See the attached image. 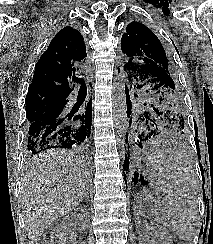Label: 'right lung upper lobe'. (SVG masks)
Here are the masks:
<instances>
[{
  "instance_id": "1",
  "label": "right lung upper lobe",
  "mask_w": 213,
  "mask_h": 244,
  "mask_svg": "<svg viewBox=\"0 0 213 244\" xmlns=\"http://www.w3.org/2000/svg\"><path fill=\"white\" fill-rule=\"evenodd\" d=\"M86 56L80 32L70 26L61 29L38 60L26 97L53 94L66 99L73 90L69 80Z\"/></svg>"
}]
</instances>
